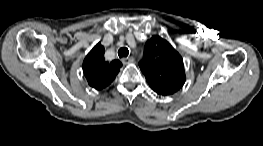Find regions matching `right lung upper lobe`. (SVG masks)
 <instances>
[{"label": "right lung upper lobe", "mask_w": 263, "mask_h": 146, "mask_svg": "<svg viewBox=\"0 0 263 146\" xmlns=\"http://www.w3.org/2000/svg\"><path fill=\"white\" fill-rule=\"evenodd\" d=\"M104 52V47L99 42L83 61V73L88 84L97 90L107 87L115 79L122 66L119 60L106 61Z\"/></svg>", "instance_id": "cb5924a9"}]
</instances>
